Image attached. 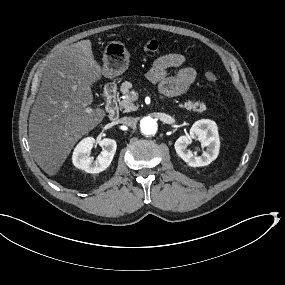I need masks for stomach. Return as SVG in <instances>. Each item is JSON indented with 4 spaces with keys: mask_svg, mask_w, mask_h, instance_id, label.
Here are the masks:
<instances>
[{
    "mask_svg": "<svg viewBox=\"0 0 285 285\" xmlns=\"http://www.w3.org/2000/svg\"><path fill=\"white\" fill-rule=\"evenodd\" d=\"M130 53L124 43L118 40L110 41L103 51L104 72L108 77H114L125 72L129 66Z\"/></svg>",
    "mask_w": 285,
    "mask_h": 285,
    "instance_id": "0dacf381",
    "label": "stomach"
}]
</instances>
